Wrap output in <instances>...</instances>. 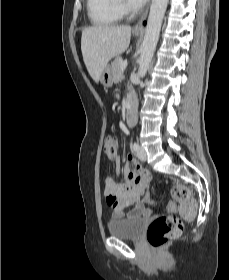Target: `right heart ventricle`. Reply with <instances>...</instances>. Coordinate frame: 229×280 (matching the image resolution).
I'll list each match as a JSON object with an SVG mask.
<instances>
[{"mask_svg":"<svg viewBox=\"0 0 229 280\" xmlns=\"http://www.w3.org/2000/svg\"><path fill=\"white\" fill-rule=\"evenodd\" d=\"M87 14L96 27H111L122 17L119 0H87Z\"/></svg>","mask_w":229,"mask_h":280,"instance_id":"obj_1","label":"right heart ventricle"}]
</instances>
